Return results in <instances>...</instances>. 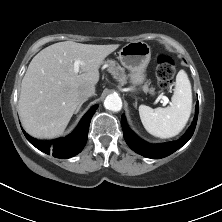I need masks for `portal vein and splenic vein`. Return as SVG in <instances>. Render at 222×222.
I'll list each match as a JSON object with an SVG mask.
<instances>
[{"label": "portal vein and splenic vein", "mask_w": 222, "mask_h": 222, "mask_svg": "<svg viewBox=\"0 0 222 222\" xmlns=\"http://www.w3.org/2000/svg\"><path fill=\"white\" fill-rule=\"evenodd\" d=\"M81 64H83V62L80 61V60H75L74 61V72L75 73L79 72ZM158 99H162L165 104H167L169 102L168 98L165 97V96H159Z\"/></svg>", "instance_id": "1"}]
</instances>
